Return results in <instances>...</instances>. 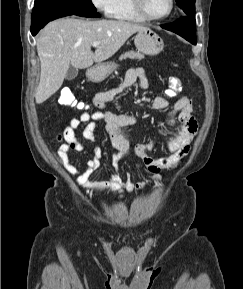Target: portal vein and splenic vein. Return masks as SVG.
Masks as SVG:
<instances>
[{
    "instance_id": "18ae733b",
    "label": "portal vein and splenic vein",
    "mask_w": 243,
    "mask_h": 289,
    "mask_svg": "<svg viewBox=\"0 0 243 289\" xmlns=\"http://www.w3.org/2000/svg\"><path fill=\"white\" fill-rule=\"evenodd\" d=\"M99 44H100V42H98V41H95V42H93V43H92V46H93V47H98V46H99Z\"/></svg>"
}]
</instances>
